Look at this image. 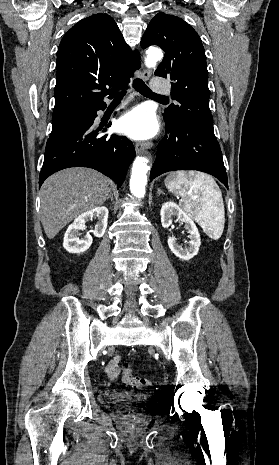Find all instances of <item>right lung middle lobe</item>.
Instances as JSON below:
<instances>
[{
  "mask_svg": "<svg viewBox=\"0 0 279 465\" xmlns=\"http://www.w3.org/2000/svg\"><path fill=\"white\" fill-rule=\"evenodd\" d=\"M79 117L65 122L63 124L55 125L52 127V132L47 141L46 150L53 147L61 138H63L68 132L72 131L79 125Z\"/></svg>",
  "mask_w": 279,
  "mask_h": 465,
  "instance_id": "obj_1",
  "label": "right lung middle lobe"
}]
</instances>
